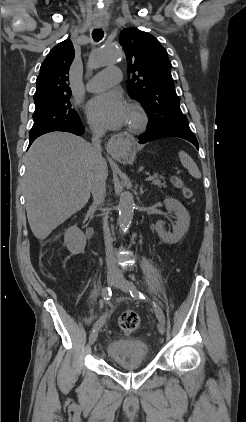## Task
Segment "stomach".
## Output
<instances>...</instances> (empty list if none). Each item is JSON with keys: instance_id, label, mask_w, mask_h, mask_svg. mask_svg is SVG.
I'll return each instance as SVG.
<instances>
[{"instance_id": "stomach-1", "label": "stomach", "mask_w": 246, "mask_h": 422, "mask_svg": "<svg viewBox=\"0 0 246 422\" xmlns=\"http://www.w3.org/2000/svg\"><path fill=\"white\" fill-rule=\"evenodd\" d=\"M135 157L136 150L133 147H127L120 156L125 163H132L135 160Z\"/></svg>"}]
</instances>
